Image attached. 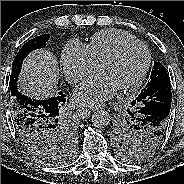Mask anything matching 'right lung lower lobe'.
I'll return each instance as SVG.
<instances>
[{
	"mask_svg": "<svg viewBox=\"0 0 184 184\" xmlns=\"http://www.w3.org/2000/svg\"><path fill=\"white\" fill-rule=\"evenodd\" d=\"M14 123L22 140L43 138L42 130L49 116L62 112L66 98L63 92L57 97L35 100L22 95L19 91L12 94Z\"/></svg>",
	"mask_w": 184,
	"mask_h": 184,
	"instance_id": "right-lung-lower-lobe-1",
	"label": "right lung lower lobe"
}]
</instances>
